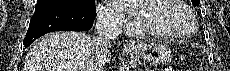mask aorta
<instances>
[{"mask_svg":"<svg viewBox=\"0 0 230 71\" xmlns=\"http://www.w3.org/2000/svg\"><path fill=\"white\" fill-rule=\"evenodd\" d=\"M120 71H129V66L124 65L122 68H120Z\"/></svg>","mask_w":230,"mask_h":71,"instance_id":"aorta-1","label":"aorta"}]
</instances>
